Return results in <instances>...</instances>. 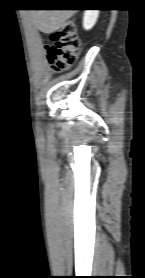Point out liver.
<instances>
[{"instance_id":"6515ba94","label":"liver","mask_w":145,"mask_h":278,"mask_svg":"<svg viewBox=\"0 0 145 278\" xmlns=\"http://www.w3.org/2000/svg\"><path fill=\"white\" fill-rule=\"evenodd\" d=\"M33 25L43 33L49 34L63 27L76 10H30Z\"/></svg>"}]
</instances>
